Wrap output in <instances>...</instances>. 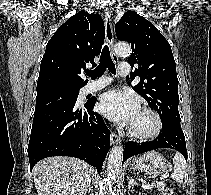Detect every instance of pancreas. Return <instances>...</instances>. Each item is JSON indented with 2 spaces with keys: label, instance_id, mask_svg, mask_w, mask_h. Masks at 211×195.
Segmentation results:
<instances>
[{
  "label": "pancreas",
  "instance_id": "cf45deb5",
  "mask_svg": "<svg viewBox=\"0 0 211 195\" xmlns=\"http://www.w3.org/2000/svg\"><path fill=\"white\" fill-rule=\"evenodd\" d=\"M165 183L164 182H158L156 184H154V186H152L151 188H157L159 191H163L165 188Z\"/></svg>",
  "mask_w": 211,
  "mask_h": 195
}]
</instances>
